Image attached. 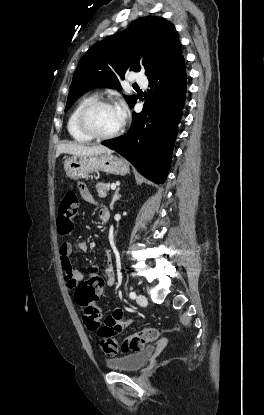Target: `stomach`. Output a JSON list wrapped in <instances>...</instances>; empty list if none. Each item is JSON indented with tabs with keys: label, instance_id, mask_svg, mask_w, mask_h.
Masks as SVG:
<instances>
[{
	"label": "stomach",
	"instance_id": "stomach-1",
	"mask_svg": "<svg viewBox=\"0 0 264 415\" xmlns=\"http://www.w3.org/2000/svg\"><path fill=\"white\" fill-rule=\"evenodd\" d=\"M66 175L77 180L95 172H105L114 175H126L129 172L128 164L121 158L111 154H93L71 156L64 162Z\"/></svg>",
	"mask_w": 264,
	"mask_h": 415
}]
</instances>
